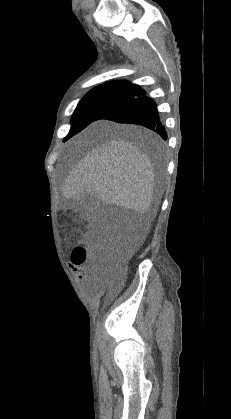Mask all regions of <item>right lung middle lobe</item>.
I'll return each mask as SVG.
<instances>
[{
	"mask_svg": "<svg viewBox=\"0 0 231 419\" xmlns=\"http://www.w3.org/2000/svg\"><path fill=\"white\" fill-rule=\"evenodd\" d=\"M135 87L104 86L89 91L77 105L71 118V128L66 139L82 131L90 123L128 99ZM65 139V140H66Z\"/></svg>",
	"mask_w": 231,
	"mask_h": 419,
	"instance_id": "1",
	"label": "right lung middle lobe"
}]
</instances>
